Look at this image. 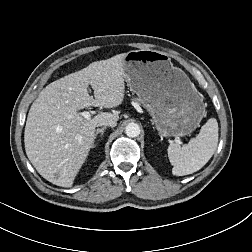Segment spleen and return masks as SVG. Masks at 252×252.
I'll return each instance as SVG.
<instances>
[{
    "instance_id": "obj_1",
    "label": "spleen",
    "mask_w": 252,
    "mask_h": 252,
    "mask_svg": "<svg viewBox=\"0 0 252 252\" xmlns=\"http://www.w3.org/2000/svg\"><path fill=\"white\" fill-rule=\"evenodd\" d=\"M218 144V123L210 118L197 137L182 147L172 143L168 147V157L176 176L192 174L200 170L213 156Z\"/></svg>"
}]
</instances>
